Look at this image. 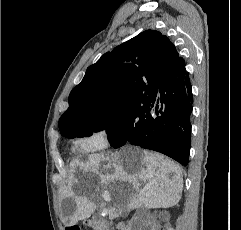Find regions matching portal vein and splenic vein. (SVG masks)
I'll return each instance as SVG.
<instances>
[{"instance_id": "18ae733b", "label": "portal vein and splenic vein", "mask_w": 241, "mask_h": 230, "mask_svg": "<svg viewBox=\"0 0 241 230\" xmlns=\"http://www.w3.org/2000/svg\"><path fill=\"white\" fill-rule=\"evenodd\" d=\"M103 199H104L105 201H110V200H111V197H110V195H109L108 193H105V194H103Z\"/></svg>"}]
</instances>
